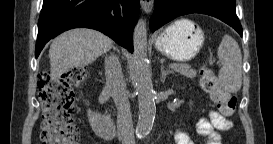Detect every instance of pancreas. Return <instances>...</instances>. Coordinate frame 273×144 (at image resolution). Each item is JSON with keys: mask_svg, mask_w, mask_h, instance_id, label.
I'll return each instance as SVG.
<instances>
[{"mask_svg": "<svg viewBox=\"0 0 273 144\" xmlns=\"http://www.w3.org/2000/svg\"><path fill=\"white\" fill-rule=\"evenodd\" d=\"M177 72H179L180 74H182L183 76L187 77V78H195L197 72L193 69H190V67H185V65H182L180 68H176L175 69Z\"/></svg>", "mask_w": 273, "mask_h": 144, "instance_id": "cf45deb5", "label": "pancreas"}]
</instances>
